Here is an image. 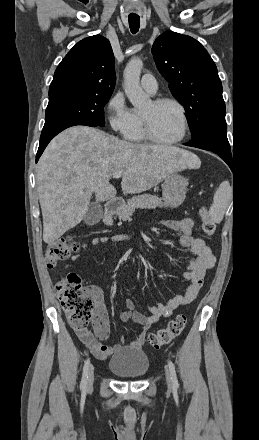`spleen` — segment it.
I'll list each match as a JSON object with an SVG mask.
<instances>
[{
  "mask_svg": "<svg viewBox=\"0 0 259 440\" xmlns=\"http://www.w3.org/2000/svg\"><path fill=\"white\" fill-rule=\"evenodd\" d=\"M232 197V188L228 181H223L216 190L209 215L215 223H220Z\"/></svg>",
  "mask_w": 259,
  "mask_h": 440,
  "instance_id": "3e777b00",
  "label": "spleen"
}]
</instances>
